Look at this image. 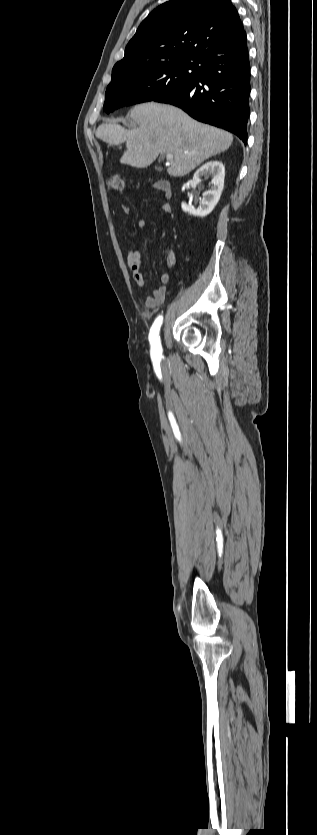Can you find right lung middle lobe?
<instances>
[{
  "label": "right lung middle lobe",
  "instance_id": "right-lung-middle-lobe-1",
  "mask_svg": "<svg viewBox=\"0 0 317 835\" xmlns=\"http://www.w3.org/2000/svg\"><path fill=\"white\" fill-rule=\"evenodd\" d=\"M199 61H183L156 65L136 72L112 73L105 93L103 110L153 101L166 92L187 84L197 77Z\"/></svg>",
  "mask_w": 317,
  "mask_h": 835
}]
</instances>
